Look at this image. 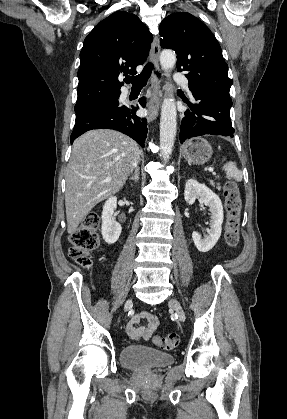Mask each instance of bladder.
<instances>
[{"label": "bladder", "mask_w": 287, "mask_h": 419, "mask_svg": "<svg viewBox=\"0 0 287 419\" xmlns=\"http://www.w3.org/2000/svg\"><path fill=\"white\" fill-rule=\"evenodd\" d=\"M121 363L134 370H157L174 362L170 354L146 346H126L120 356Z\"/></svg>", "instance_id": "obj_1"}]
</instances>
